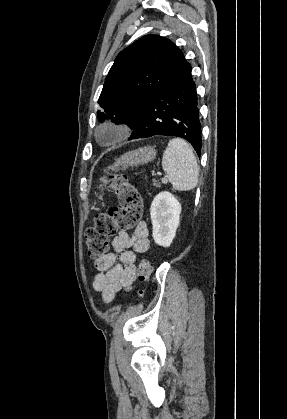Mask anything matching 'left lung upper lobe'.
I'll list each match as a JSON object with an SVG mask.
<instances>
[{
	"label": "left lung upper lobe",
	"instance_id": "obj_1",
	"mask_svg": "<svg viewBox=\"0 0 287 419\" xmlns=\"http://www.w3.org/2000/svg\"><path fill=\"white\" fill-rule=\"evenodd\" d=\"M190 64L168 39L146 35L122 50L105 79L98 120L137 124L147 101L171 84Z\"/></svg>",
	"mask_w": 287,
	"mask_h": 419
}]
</instances>
